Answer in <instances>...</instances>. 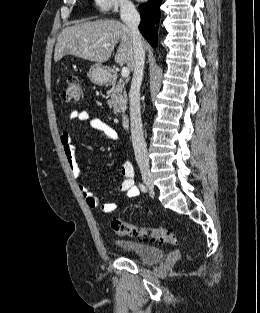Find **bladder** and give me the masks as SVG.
Masks as SVG:
<instances>
[{"mask_svg":"<svg viewBox=\"0 0 260 313\" xmlns=\"http://www.w3.org/2000/svg\"><path fill=\"white\" fill-rule=\"evenodd\" d=\"M114 244L145 263L160 261L164 257L163 250L157 246L120 239H115Z\"/></svg>","mask_w":260,"mask_h":313,"instance_id":"31cf9c89","label":"bladder"}]
</instances>
